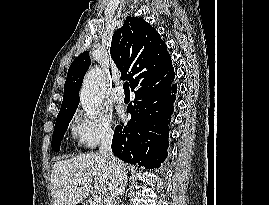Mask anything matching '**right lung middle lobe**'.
Instances as JSON below:
<instances>
[{
    "mask_svg": "<svg viewBox=\"0 0 269 205\" xmlns=\"http://www.w3.org/2000/svg\"><path fill=\"white\" fill-rule=\"evenodd\" d=\"M73 115L74 114H70L56 120L51 146L52 149L57 152L60 150L62 138L68 128L69 122L71 121Z\"/></svg>",
    "mask_w": 269,
    "mask_h": 205,
    "instance_id": "1",
    "label": "right lung middle lobe"
}]
</instances>
